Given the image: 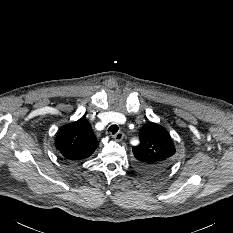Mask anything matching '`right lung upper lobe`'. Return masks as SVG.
Segmentation results:
<instances>
[{"instance_id": "cb5924a9", "label": "right lung upper lobe", "mask_w": 233, "mask_h": 233, "mask_svg": "<svg viewBox=\"0 0 233 233\" xmlns=\"http://www.w3.org/2000/svg\"><path fill=\"white\" fill-rule=\"evenodd\" d=\"M55 146L67 160L79 161L89 157L97 148L98 142L90 123L81 118L59 130Z\"/></svg>"}]
</instances>
